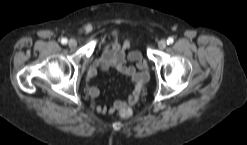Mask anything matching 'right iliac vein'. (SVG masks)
<instances>
[{
    "instance_id": "obj_1",
    "label": "right iliac vein",
    "mask_w": 247,
    "mask_h": 145,
    "mask_svg": "<svg viewBox=\"0 0 247 145\" xmlns=\"http://www.w3.org/2000/svg\"><path fill=\"white\" fill-rule=\"evenodd\" d=\"M68 45L70 48H75L77 46V42L74 39H70Z\"/></svg>"
}]
</instances>
